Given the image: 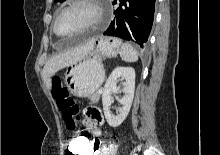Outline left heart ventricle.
Returning a JSON list of instances; mask_svg holds the SVG:
<instances>
[{"instance_id": "1", "label": "left heart ventricle", "mask_w": 220, "mask_h": 155, "mask_svg": "<svg viewBox=\"0 0 220 155\" xmlns=\"http://www.w3.org/2000/svg\"><path fill=\"white\" fill-rule=\"evenodd\" d=\"M94 16L88 5H79L63 12L57 19L56 31L61 36H69L83 28Z\"/></svg>"}]
</instances>
